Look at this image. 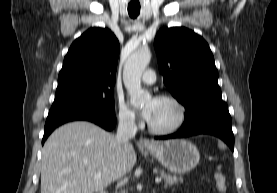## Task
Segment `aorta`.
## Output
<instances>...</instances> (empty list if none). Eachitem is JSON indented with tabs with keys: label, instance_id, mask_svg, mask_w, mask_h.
I'll use <instances>...</instances> for the list:
<instances>
[{
	"label": "aorta",
	"instance_id": "762f6f07",
	"mask_svg": "<svg viewBox=\"0 0 277 193\" xmlns=\"http://www.w3.org/2000/svg\"><path fill=\"white\" fill-rule=\"evenodd\" d=\"M151 60L148 47H142L130 55L123 69L124 86L133 106L139 107L151 98L149 92L141 88V76Z\"/></svg>",
	"mask_w": 277,
	"mask_h": 193
}]
</instances>
